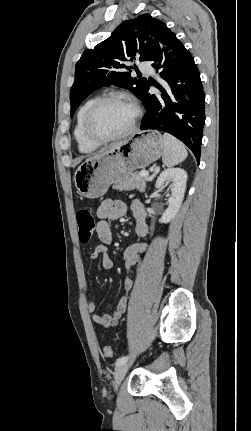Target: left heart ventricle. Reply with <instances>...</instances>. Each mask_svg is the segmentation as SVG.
I'll return each instance as SVG.
<instances>
[{
    "label": "left heart ventricle",
    "mask_w": 251,
    "mask_h": 431,
    "mask_svg": "<svg viewBox=\"0 0 251 431\" xmlns=\"http://www.w3.org/2000/svg\"><path fill=\"white\" fill-rule=\"evenodd\" d=\"M134 113V108L129 103L107 102L95 114L92 121V131L100 137L118 135L130 127Z\"/></svg>",
    "instance_id": "b2bd125f"
}]
</instances>
